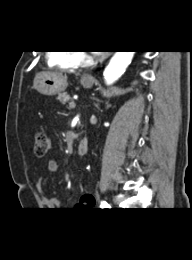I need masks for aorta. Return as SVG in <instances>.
<instances>
[{
	"mask_svg": "<svg viewBox=\"0 0 192 260\" xmlns=\"http://www.w3.org/2000/svg\"><path fill=\"white\" fill-rule=\"evenodd\" d=\"M134 51H117L106 66L103 76L107 85L114 83L131 63Z\"/></svg>",
	"mask_w": 192,
	"mask_h": 260,
	"instance_id": "762f6f07",
	"label": "aorta"
}]
</instances>
